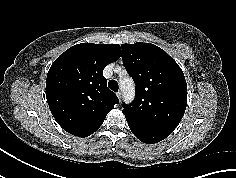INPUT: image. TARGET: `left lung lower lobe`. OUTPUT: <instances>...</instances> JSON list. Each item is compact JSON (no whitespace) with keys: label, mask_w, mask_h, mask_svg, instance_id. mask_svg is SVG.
Instances as JSON below:
<instances>
[{"label":"left lung lower lobe","mask_w":236,"mask_h":178,"mask_svg":"<svg viewBox=\"0 0 236 178\" xmlns=\"http://www.w3.org/2000/svg\"><path fill=\"white\" fill-rule=\"evenodd\" d=\"M132 133L142 142L144 143H157L163 139H165L168 135L156 133L148 130H144L138 127L129 126Z\"/></svg>","instance_id":"left-lung-lower-lobe-1"}]
</instances>
